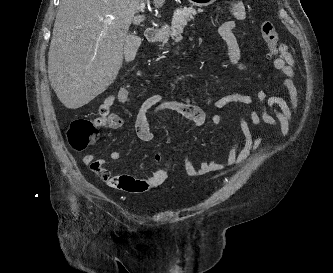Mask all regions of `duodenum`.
<instances>
[{"label":"duodenum","instance_id":"410a0bca","mask_svg":"<svg viewBox=\"0 0 333 273\" xmlns=\"http://www.w3.org/2000/svg\"><path fill=\"white\" fill-rule=\"evenodd\" d=\"M161 28L149 27L146 29V37L150 41H157Z\"/></svg>","mask_w":333,"mask_h":273}]
</instances>
